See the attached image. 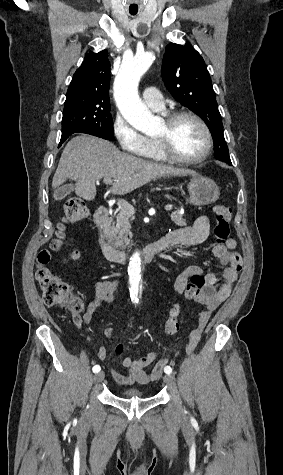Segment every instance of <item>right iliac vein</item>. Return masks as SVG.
<instances>
[{"instance_id": "right-iliac-vein-1", "label": "right iliac vein", "mask_w": 283, "mask_h": 475, "mask_svg": "<svg viewBox=\"0 0 283 475\" xmlns=\"http://www.w3.org/2000/svg\"><path fill=\"white\" fill-rule=\"evenodd\" d=\"M103 378H104V372H103V371L98 372V373L95 374V376H94V380H95L96 382L102 381Z\"/></svg>"}]
</instances>
